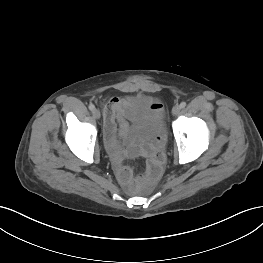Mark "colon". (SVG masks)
<instances>
[{
    "label": "colon",
    "instance_id": "5ec220e1",
    "mask_svg": "<svg viewBox=\"0 0 263 263\" xmlns=\"http://www.w3.org/2000/svg\"><path fill=\"white\" fill-rule=\"evenodd\" d=\"M162 163L152 162L148 165L146 173L136 181L138 187L148 185L158 179L161 173Z\"/></svg>",
    "mask_w": 263,
    "mask_h": 263
}]
</instances>
